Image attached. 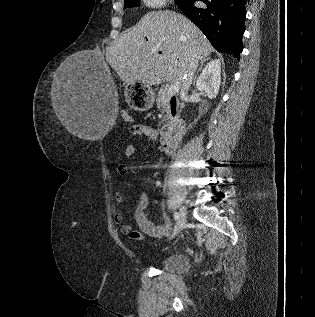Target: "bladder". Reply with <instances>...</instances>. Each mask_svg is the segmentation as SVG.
<instances>
[{"mask_svg": "<svg viewBox=\"0 0 315 317\" xmlns=\"http://www.w3.org/2000/svg\"><path fill=\"white\" fill-rule=\"evenodd\" d=\"M160 267L166 271L183 273L189 269V260L183 254H171L161 261Z\"/></svg>", "mask_w": 315, "mask_h": 317, "instance_id": "1", "label": "bladder"}]
</instances>
